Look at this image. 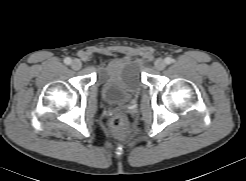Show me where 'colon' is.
I'll return each mask as SVG.
<instances>
[{"label": "colon", "instance_id": "colon-1", "mask_svg": "<svg viewBox=\"0 0 246 181\" xmlns=\"http://www.w3.org/2000/svg\"><path fill=\"white\" fill-rule=\"evenodd\" d=\"M110 128L115 134L122 136L128 132L129 122L124 115L117 114L111 118Z\"/></svg>", "mask_w": 246, "mask_h": 181}]
</instances>
